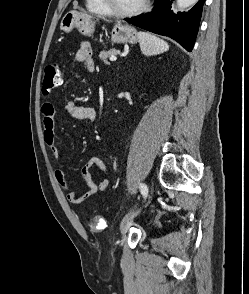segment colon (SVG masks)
Masks as SVG:
<instances>
[{"label":"colon","instance_id":"1","mask_svg":"<svg viewBox=\"0 0 249 294\" xmlns=\"http://www.w3.org/2000/svg\"><path fill=\"white\" fill-rule=\"evenodd\" d=\"M62 73L58 63L54 62L46 66L42 90L48 94L61 85ZM88 227L93 231H101L105 228V220L101 216H94L88 220Z\"/></svg>","mask_w":249,"mask_h":294}]
</instances>
